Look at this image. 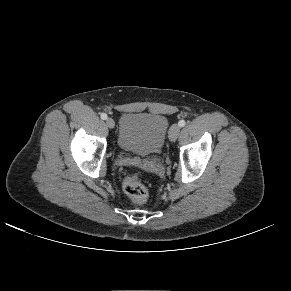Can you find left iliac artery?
Listing matches in <instances>:
<instances>
[{
    "label": "left iliac artery",
    "mask_w": 291,
    "mask_h": 291,
    "mask_svg": "<svg viewBox=\"0 0 291 291\" xmlns=\"http://www.w3.org/2000/svg\"><path fill=\"white\" fill-rule=\"evenodd\" d=\"M185 124H186L185 120H180V121L178 122V125H179L180 127H184Z\"/></svg>",
    "instance_id": "44dca946"
}]
</instances>
